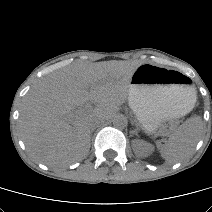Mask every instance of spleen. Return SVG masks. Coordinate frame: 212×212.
<instances>
[{
    "mask_svg": "<svg viewBox=\"0 0 212 212\" xmlns=\"http://www.w3.org/2000/svg\"><path fill=\"white\" fill-rule=\"evenodd\" d=\"M203 130L200 118L187 120L168 141L159 146L161 156L167 163H176L190 156Z\"/></svg>",
    "mask_w": 212,
    "mask_h": 212,
    "instance_id": "1",
    "label": "spleen"
}]
</instances>
